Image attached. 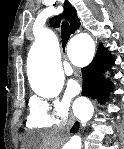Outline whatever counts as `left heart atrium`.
I'll return each instance as SVG.
<instances>
[{
  "instance_id": "39dd6f15",
  "label": "left heart atrium",
  "mask_w": 124,
  "mask_h": 149,
  "mask_svg": "<svg viewBox=\"0 0 124 149\" xmlns=\"http://www.w3.org/2000/svg\"><path fill=\"white\" fill-rule=\"evenodd\" d=\"M79 90H80V85L76 81L71 82L68 86V94L70 96L77 95L79 93Z\"/></svg>"
}]
</instances>
